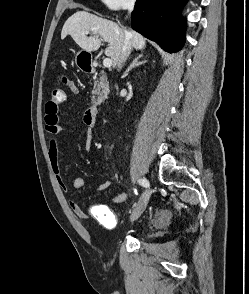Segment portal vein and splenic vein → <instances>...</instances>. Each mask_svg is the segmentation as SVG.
<instances>
[{"mask_svg":"<svg viewBox=\"0 0 249 294\" xmlns=\"http://www.w3.org/2000/svg\"><path fill=\"white\" fill-rule=\"evenodd\" d=\"M88 34V32H86ZM104 67H111L112 66V60L110 58H105L103 60Z\"/></svg>","mask_w":249,"mask_h":294,"instance_id":"18ae733b","label":"portal vein and splenic vein"}]
</instances>
